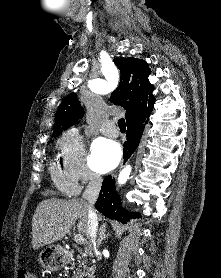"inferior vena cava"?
I'll return each mask as SVG.
<instances>
[{"mask_svg": "<svg viewBox=\"0 0 221 278\" xmlns=\"http://www.w3.org/2000/svg\"><path fill=\"white\" fill-rule=\"evenodd\" d=\"M102 185V178L96 173L90 174L89 184L87 185L83 198L88 202V221L86 235L93 247L96 246L98 216L94 209V204L98 198Z\"/></svg>", "mask_w": 221, "mask_h": 278, "instance_id": "602c4592", "label": "inferior vena cava"}]
</instances>
